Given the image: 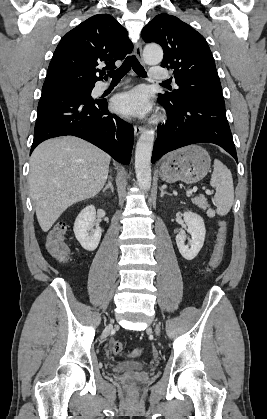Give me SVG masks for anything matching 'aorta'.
Here are the masks:
<instances>
[{"instance_id":"obj_1","label":"aorta","mask_w":267,"mask_h":419,"mask_svg":"<svg viewBox=\"0 0 267 419\" xmlns=\"http://www.w3.org/2000/svg\"><path fill=\"white\" fill-rule=\"evenodd\" d=\"M143 58L149 65L159 64L163 59V50L158 45H147L144 49ZM154 136V130H145L140 135L135 150L136 178L139 187L145 191L151 188V156Z\"/></svg>"}]
</instances>
